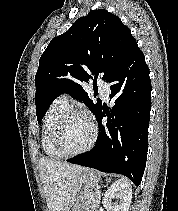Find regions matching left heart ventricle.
Masks as SVG:
<instances>
[{"label":"left heart ventricle","mask_w":178,"mask_h":211,"mask_svg":"<svg viewBox=\"0 0 178 211\" xmlns=\"http://www.w3.org/2000/svg\"><path fill=\"white\" fill-rule=\"evenodd\" d=\"M91 138L89 122L79 116L70 119L64 130L61 146L66 152H76L84 148Z\"/></svg>","instance_id":"1"}]
</instances>
